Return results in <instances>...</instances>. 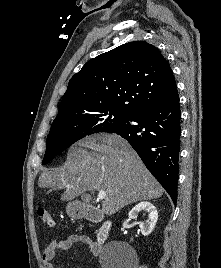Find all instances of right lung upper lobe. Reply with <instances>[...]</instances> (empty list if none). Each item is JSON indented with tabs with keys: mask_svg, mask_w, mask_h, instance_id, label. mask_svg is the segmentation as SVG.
I'll return each instance as SVG.
<instances>
[{
	"mask_svg": "<svg viewBox=\"0 0 221 268\" xmlns=\"http://www.w3.org/2000/svg\"><path fill=\"white\" fill-rule=\"evenodd\" d=\"M177 97L172 69L160 51L133 41L93 58L74 74L57 117L106 110L132 117Z\"/></svg>",
	"mask_w": 221,
	"mask_h": 268,
	"instance_id": "obj_1",
	"label": "right lung upper lobe"
}]
</instances>
